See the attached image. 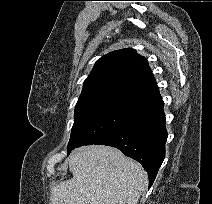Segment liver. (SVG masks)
Segmentation results:
<instances>
[{"label": "liver", "instance_id": "6515ba94", "mask_svg": "<svg viewBox=\"0 0 212 204\" xmlns=\"http://www.w3.org/2000/svg\"><path fill=\"white\" fill-rule=\"evenodd\" d=\"M68 162L73 177L54 185L50 204H137L148 185L142 166L113 147H80Z\"/></svg>", "mask_w": 212, "mask_h": 204}]
</instances>
